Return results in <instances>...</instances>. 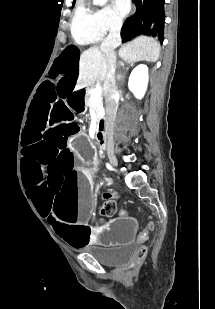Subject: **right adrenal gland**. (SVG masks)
<instances>
[{
	"mask_svg": "<svg viewBox=\"0 0 215 309\" xmlns=\"http://www.w3.org/2000/svg\"><path fill=\"white\" fill-rule=\"evenodd\" d=\"M119 64H121V66H124V62H122V60H120ZM131 66H133V62H130Z\"/></svg>",
	"mask_w": 215,
	"mask_h": 309,
	"instance_id": "2a0ac1e0",
	"label": "right adrenal gland"
}]
</instances>
